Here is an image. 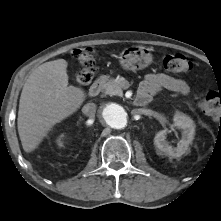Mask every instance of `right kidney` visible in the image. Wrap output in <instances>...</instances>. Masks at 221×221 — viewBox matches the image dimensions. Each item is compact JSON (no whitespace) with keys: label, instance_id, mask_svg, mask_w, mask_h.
I'll return each mask as SVG.
<instances>
[{"label":"right kidney","instance_id":"ca27d5eb","mask_svg":"<svg viewBox=\"0 0 221 221\" xmlns=\"http://www.w3.org/2000/svg\"><path fill=\"white\" fill-rule=\"evenodd\" d=\"M57 144L59 146H63V136H60L58 139H57Z\"/></svg>","mask_w":221,"mask_h":221}]
</instances>
